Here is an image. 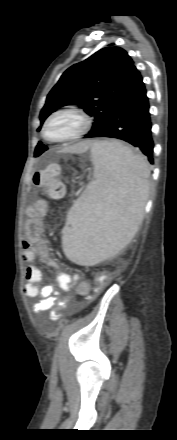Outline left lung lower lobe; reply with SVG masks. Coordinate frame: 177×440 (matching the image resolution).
<instances>
[{
    "label": "left lung lower lobe",
    "mask_w": 177,
    "mask_h": 440,
    "mask_svg": "<svg viewBox=\"0 0 177 440\" xmlns=\"http://www.w3.org/2000/svg\"><path fill=\"white\" fill-rule=\"evenodd\" d=\"M151 128L149 102L141 79L107 122L85 137H110L126 141L141 150L148 161L154 164Z\"/></svg>",
    "instance_id": "1"
}]
</instances>
